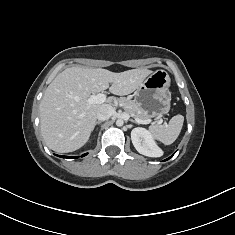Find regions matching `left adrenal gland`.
<instances>
[{"label": "left adrenal gland", "instance_id": "obj_1", "mask_svg": "<svg viewBox=\"0 0 235 235\" xmlns=\"http://www.w3.org/2000/svg\"><path fill=\"white\" fill-rule=\"evenodd\" d=\"M130 121L133 122V123H136L133 119H131Z\"/></svg>", "mask_w": 235, "mask_h": 235}]
</instances>
